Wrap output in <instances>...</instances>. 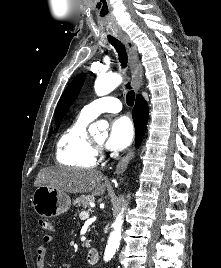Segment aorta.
<instances>
[{
	"label": "aorta",
	"mask_w": 221,
	"mask_h": 268,
	"mask_svg": "<svg viewBox=\"0 0 221 268\" xmlns=\"http://www.w3.org/2000/svg\"><path fill=\"white\" fill-rule=\"evenodd\" d=\"M122 83V77L119 74L99 75L95 81L94 89L98 96H104L112 92ZM104 122L97 121L90 126V131L96 132L97 129L105 128ZM123 211L117 216L113 223V231L111 232L108 245L105 250V260L113 257L119 247L121 239V229L123 224Z\"/></svg>",
	"instance_id": "762f6f07"
}]
</instances>
